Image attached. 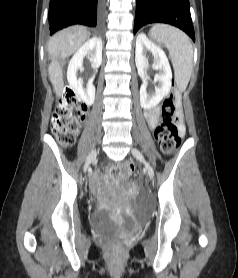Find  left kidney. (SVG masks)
<instances>
[{"mask_svg":"<svg viewBox=\"0 0 238 278\" xmlns=\"http://www.w3.org/2000/svg\"><path fill=\"white\" fill-rule=\"evenodd\" d=\"M147 53L152 54L154 63L153 69L158 70L159 74L155 81L159 83L155 88V92L147 93V69L149 67ZM135 62L138 69V74L142 79L140 87V104L144 109H152L160 103L171 89L172 71L165 52L157 45L153 44L145 34H139L136 39Z\"/></svg>","mask_w":238,"mask_h":278,"instance_id":"obj_1","label":"left kidney"}]
</instances>
